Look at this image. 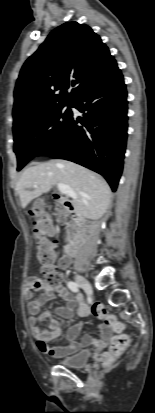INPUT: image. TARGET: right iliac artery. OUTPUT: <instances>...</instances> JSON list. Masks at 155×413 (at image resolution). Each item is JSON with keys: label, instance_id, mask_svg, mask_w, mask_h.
I'll return each instance as SVG.
<instances>
[{"label": "right iliac artery", "instance_id": "obj_1", "mask_svg": "<svg viewBox=\"0 0 155 413\" xmlns=\"http://www.w3.org/2000/svg\"><path fill=\"white\" fill-rule=\"evenodd\" d=\"M67 286L68 288L72 291V292H79V286L77 283L73 282V281H69L67 282Z\"/></svg>", "mask_w": 155, "mask_h": 413}]
</instances>
